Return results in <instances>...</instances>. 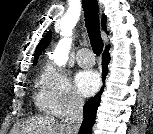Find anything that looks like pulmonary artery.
Returning a JSON list of instances; mask_svg holds the SVG:
<instances>
[{
    "label": "pulmonary artery",
    "mask_w": 153,
    "mask_h": 134,
    "mask_svg": "<svg viewBox=\"0 0 153 134\" xmlns=\"http://www.w3.org/2000/svg\"><path fill=\"white\" fill-rule=\"evenodd\" d=\"M77 62L82 67H91L95 63L92 52L87 48H82L77 52Z\"/></svg>",
    "instance_id": "e3ab8cb5"
}]
</instances>
